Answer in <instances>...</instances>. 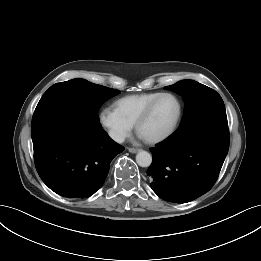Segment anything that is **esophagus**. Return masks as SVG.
Returning a JSON list of instances; mask_svg holds the SVG:
<instances>
[{
	"mask_svg": "<svg viewBox=\"0 0 261 261\" xmlns=\"http://www.w3.org/2000/svg\"><path fill=\"white\" fill-rule=\"evenodd\" d=\"M140 149H138V148H128V151L130 152V153H137L138 151H139Z\"/></svg>",
	"mask_w": 261,
	"mask_h": 261,
	"instance_id": "esophagus-1",
	"label": "esophagus"
}]
</instances>
